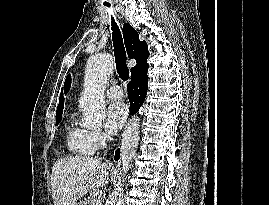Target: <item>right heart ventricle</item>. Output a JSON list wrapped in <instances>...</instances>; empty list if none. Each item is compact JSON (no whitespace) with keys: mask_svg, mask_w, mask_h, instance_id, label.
<instances>
[{"mask_svg":"<svg viewBox=\"0 0 269 205\" xmlns=\"http://www.w3.org/2000/svg\"><path fill=\"white\" fill-rule=\"evenodd\" d=\"M66 143L75 156L88 157L94 153L88 140V132L75 125L73 119L67 125Z\"/></svg>","mask_w":269,"mask_h":205,"instance_id":"obj_1","label":"right heart ventricle"}]
</instances>
